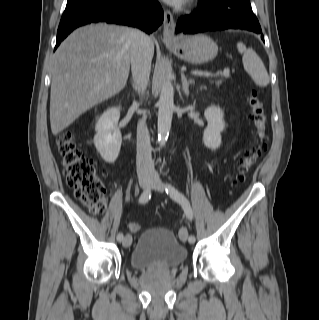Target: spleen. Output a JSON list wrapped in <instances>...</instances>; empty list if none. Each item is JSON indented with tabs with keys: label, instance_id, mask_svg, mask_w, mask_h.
<instances>
[{
	"label": "spleen",
	"instance_id": "spleen-1",
	"mask_svg": "<svg viewBox=\"0 0 319 320\" xmlns=\"http://www.w3.org/2000/svg\"><path fill=\"white\" fill-rule=\"evenodd\" d=\"M239 53L243 55L242 62L244 69L252 77L255 84L259 87H265L269 84L267 70L257 53L253 49H247L242 42L237 43Z\"/></svg>",
	"mask_w": 319,
	"mask_h": 320
}]
</instances>
